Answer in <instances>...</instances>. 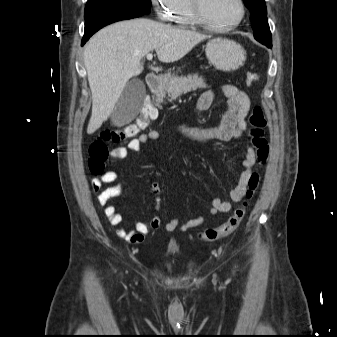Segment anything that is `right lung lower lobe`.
Wrapping results in <instances>:
<instances>
[{
  "label": "right lung lower lobe",
  "instance_id": "1",
  "mask_svg": "<svg viewBox=\"0 0 337 337\" xmlns=\"http://www.w3.org/2000/svg\"><path fill=\"white\" fill-rule=\"evenodd\" d=\"M145 13L130 11L125 9H109L90 15L85 19V30L82 39V46L88 39L102 27L116 21L136 18Z\"/></svg>",
  "mask_w": 337,
  "mask_h": 337
}]
</instances>
